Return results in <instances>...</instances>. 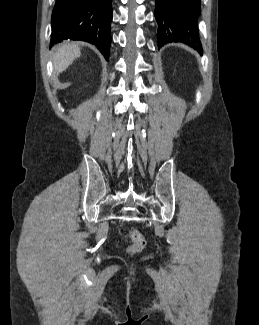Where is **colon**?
Returning a JSON list of instances; mask_svg holds the SVG:
<instances>
[{"mask_svg":"<svg viewBox=\"0 0 259 325\" xmlns=\"http://www.w3.org/2000/svg\"><path fill=\"white\" fill-rule=\"evenodd\" d=\"M129 238L131 240V244L129 246V251L131 253L140 252L146 245L145 239L140 232L137 230L129 231Z\"/></svg>","mask_w":259,"mask_h":325,"instance_id":"colon-1","label":"colon"}]
</instances>
